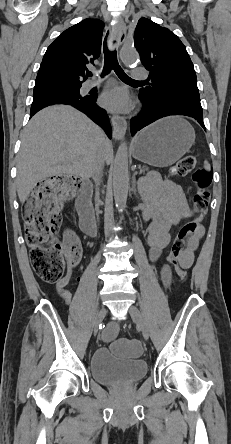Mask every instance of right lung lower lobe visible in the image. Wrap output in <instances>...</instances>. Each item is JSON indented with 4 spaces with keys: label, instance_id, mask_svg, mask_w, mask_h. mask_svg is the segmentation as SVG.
I'll return each mask as SVG.
<instances>
[{
    "label": "right lung lower lobe",
    "instance_id": "1",
    "mask_svg": "<svg viewBox=\"0 0 231 444\" xmlns=\"http://www.w3.org/2000/svg\"><path fill=\"white\" fill-rule=\"evenodd\" d=\"M96 99L97 95L82 97H76L64 93H44L36 95L33 96L30 116L32 117L36 112L49 105H71L85 113L95 123L103 127L108 137L111 138L112 130L108 122V116L103 109L96 105Z\"/></svg>",
    "mask_w": 231,
    "mask_h": 444
}]
</instances>
